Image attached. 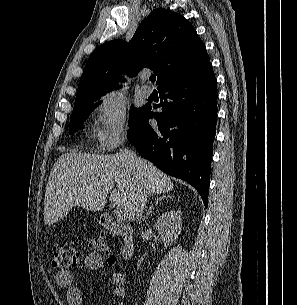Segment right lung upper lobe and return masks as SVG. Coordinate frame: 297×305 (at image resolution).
Segmentation results:
<instances>
[{
	"instance_id": "cb5924a9",
	"label": "right lung upper lobe",
	"mask_w": 297,
	"mask_h": 305,
	"mask_svg": "<svg viewBox=\"0 0 297 305\" xmlns=\"http://www.w3.org/2000/svg\"><path fill=\"white\" fill-rule=\"evenodd\" d=\"M209 65L205 45L192 24L178 13L156 9L142 21L131 41H109L91 54L75 102L117 89L113 86L121 73L133 77L148 67L161 86L194 75Z\"/></svg>"
}]
</instances>
